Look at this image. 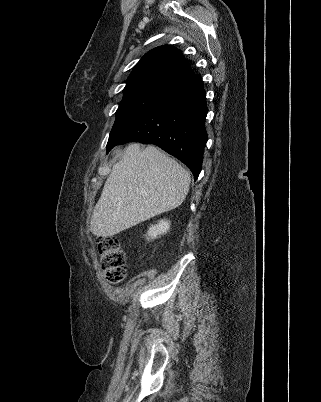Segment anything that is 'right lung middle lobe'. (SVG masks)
<instances>
[{"mask_svg":"<svg viewBox=\"0 0 321 402\" xmlns=\"http://www.w3.org/2000/svg\"><path fill=\"white\" fill-rule=\"evenodd\" d=\"M172 88L165 84L151 83L124 90V96L116 111V120L108 141L160 103Z\"/></svg>","mask_w":321,"mask_h":402,"instance_id":"dd1d6c3e","label":"right lung middle lobe"}]
</instances>
